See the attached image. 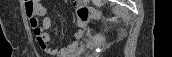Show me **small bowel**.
Listing matches in <instances>:
<instances>
[{"label": "small bowel", "instance_id": "1", "mask_svg": "<svg viewBox=\"0 0 172 57\" xmlns=\"http://www.w3.org/2000/svg\"><path fill=\"white\" fill-rule=\"evenodd\" d=\"M77 6L79 4H76ZM25 14L28 24L33 30L34 37L40 49L50 56L69 57L74 53H80L84 47L81 44L83 31L78 29L74 33L73 41L66 47L54 48L50 45L51 19L47 16V10L39 0H29L25 2ZM41 18V21L39 20Z\"/></svg>", "mask_w": 172, "mask_h": 57}]
</instances>
